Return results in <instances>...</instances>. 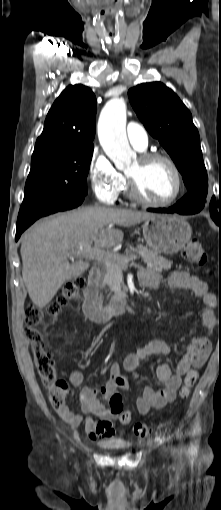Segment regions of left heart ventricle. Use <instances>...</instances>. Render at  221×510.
<instances>
[{
  "label": "left heart ventricle",
  "instance_id": "1",
  "mask_svg": "<svg viewBox=\"0 0 221 510\" xmlns=\"http://www.w3.org/2000/svg\"><path fill=\"white\" fill-rule=\"evenodd\" d=\"M138 186L140 194L152 201L169 199L176 188V180L169 165L162 160L143 164L139 159L127 171Z\"/></svg>",
  "mask_w": 221,
  "mask_h": 510
}]
</instances>
